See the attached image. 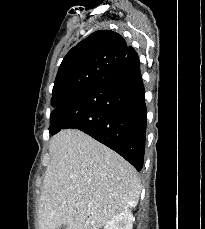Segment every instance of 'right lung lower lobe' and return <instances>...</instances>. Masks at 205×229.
Returning <instances> with one entry per match:
<instances>
[{
  "label": "right lung lower lobe",
  "instance_id": "1",
  "mask_svg": "<svg viewBox=\"0 0 205 229\" xmlns=\"http://www.w3.org/2000/svg\"><path fill=\"white\" fill-rule=\"evenodd\" d=\"M77 128L116 151L137 171L143 167L146 106L137 53L50 115V134Z\"/></svg>",
  "mask_w": 205,
  "mask_h": 229
}]
</instances>
